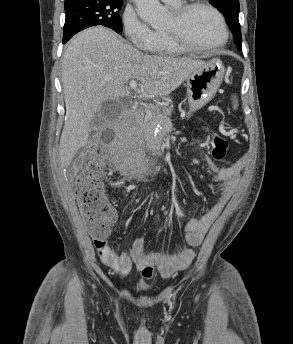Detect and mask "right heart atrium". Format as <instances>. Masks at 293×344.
Returning <instances> with one entry per match:
<instances>
[{
    "mask_svg": "<svg viewBox=\"0 0 293 344\" xmlns=\"http://www.w3.org/2000/svg\"><path fill=\"white\" fill-rule=\"evenodd\" d=\"M122 30L130 45L137 51H148L156 39L157 32L145 22L131 6H127L121 17Z\"/></svg>",
    "mask_w": 293,
    "mask_h": 344,
    "instance_id": "1",
    "label": "right heart atrium"
}]
</instances>
